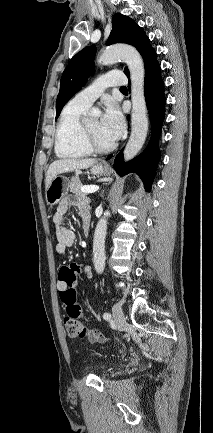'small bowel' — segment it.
Returning a JSON list of instances; mask_svg holds the SVG:
<instances>
[{"mask_svg": "<svg viewBox=\"0 0 213 433\" xmlns=\"http://www.w3.org/2000/svg\"><path fill=\"white\" fill-rule=\"evenodd\" d=\"M71 205L76 206L79 211L82 229H84L86 226H90L91 216L87 200L84 198H78L76 200H72L69 197L64 198L57 206L56 212L53 216V223L55 225L57 239L56 252L59 255H65L69 248L73 246L76 239L75 232L68 227L65 222L66 213L69 206ZM70 266H73L76 269L78 275L82 274L88 278H91L93 275L92 269L88 265L72 264ZM57 288L59 291H63L65 285L59 281ZM96 331L98 333V338L95 340L89 339L94 342H105L106 338L103 336V334L98 330Z\"/></svg>", "mask_w": 213, "mask_h": 433, "instance_id": "small-bowel-1", "label": "small bowel"}]
</instances>
